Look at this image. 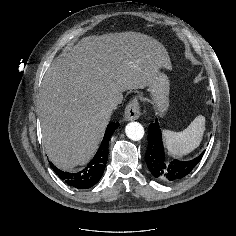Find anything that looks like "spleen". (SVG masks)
<instances>
[{"mask_svg":"<svg viewBox=\"0 0 236 236\" xmlns=\"http://www.w3.org/2000/svg\"><path fill=\"white\" fill-rule=\"evenodd\" d=\"M205 131V117L197 116L181 132L163 130L166 147L172 155L183 156L192 152L201 143Z\"/></svg>","mask_w":236,"mask_h":236,"instance_id":"obj_1","label":"spleen"}]
</instances>
